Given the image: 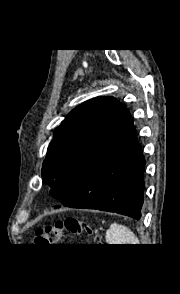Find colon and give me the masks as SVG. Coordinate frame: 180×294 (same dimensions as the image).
<instances>
[{
  "instance_id": "colon-1",
  "label": "colon",
  "mask_w": 180,
  "mask_h": 294,
  "mask_svg": "<svg viewBox=\"0 0 180 294\" xmlns=\"http://www.w3.org/2000/svg\"><path fill=\"white\" fill-rule=\"evenodd\" d=\"M71 234H80L82 232L88 235L92 234V228L89 224L80 221L74 217H68L62 221H58L53 225L46 226L36 232V242L41 245L54 246L57 245L64 232Z\"/></svg>"
}]
</instances>
